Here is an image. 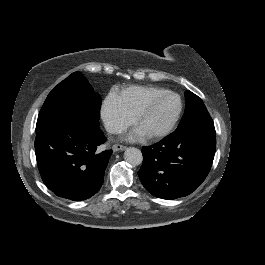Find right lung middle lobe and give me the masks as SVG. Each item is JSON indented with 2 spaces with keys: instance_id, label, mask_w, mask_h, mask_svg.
Here are the masks:
<instances>
[{
  "instance_id": "dd1d6c3e",
  "label": "right lung middle lobe",
  "mask_w": 265,
  "mask_h": 265,
  "mask_svg": "<svg viewBox=\"0 0 265 265\" xmlns=\"http://www.w3.org/2000/svg\"><path fill=\"white\" fill-rule=\"evenodd\" d=\"M101 97L80 72L60 82L47 96L38 116L36 130L56 116L77 117L98 123Z\"/></svg>"
}]
</instances>
